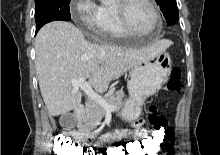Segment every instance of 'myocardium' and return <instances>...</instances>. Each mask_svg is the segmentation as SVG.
I'll use <instances>...</instances> for the list:
<instances>
[{
	"label": "myocardium",
	"mask_w": 220,
	"mask_h": 155,
	"mask_svg": "<svg viewBox=\"0 0 220 155\" xmlns=\"http://www.w3.org/2000/svg\"><path fill=\"white\" fill-rule=\"evenodd\" d=\"M132 1L133 0H118L117 4L115 5L120 22L122 26L124 27V29L129 34H132V35H148V34H151L157 31L161 26V17H160L158 8L154 0H144L149 5L152 15H153V19H154L152 28L146 31H140V30L135 29L129 21L127 10H128L129 4Z\"/></svg>",
	"instance_id": "obj_1"
}]
</instances>
